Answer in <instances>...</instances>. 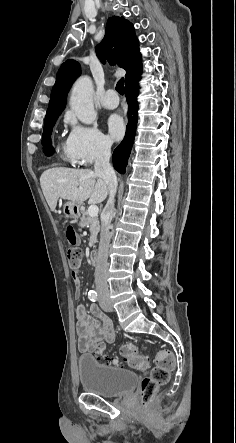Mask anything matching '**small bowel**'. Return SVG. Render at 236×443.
<instances>
[{"mask_svg": "<svg viewBox=\"0 0 236 443\" xmlns=\"http://www.w3.org/2000/svg\"><path fill=\"white\" fill-rule=\"evenodd\" d=\"M74 283L76 286L75 296L79 297L81 291L78 277ZM90 313L84 305H79L76 308L78 348L84 352H91L94 345L100 340L107 343H112L115 340L110 319L95 305L90 307Z\"/></svg>", "mask_w": 236, "mask_h": 443, "instance_id": "small-bowel-1", "label": "small bowel"}]
</instances>
